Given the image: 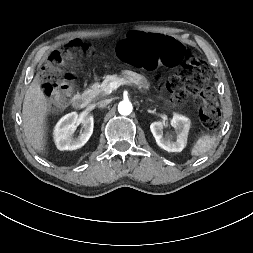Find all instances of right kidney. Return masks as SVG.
Instances as JSON below:
<instances>
[{
  "label": "right kidney",
  "instance_id": "ca27d5eb",
  "mask_svg": "<svg viewBox=\"0 0 253 253\" xmlns=\"http://www.w3.org/2000/svg\"><path fill=\"white\" fill-rule=\"evenodd\" d=\"M83 124V132L77 138L73 134L79 124ZM94 121L92 116L78 117L76 112L63 116L56 124L53 138L60 151L76 150L86 144L93 133Z\"/></svg>",
  "mask_w": 253,
  "mask_h": 253
}]
</instances>
